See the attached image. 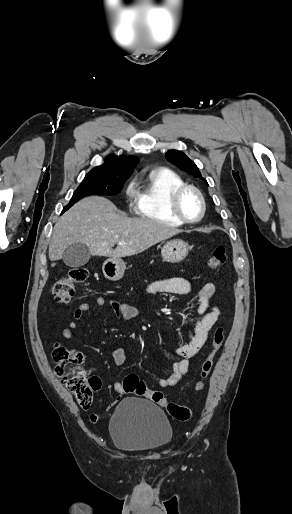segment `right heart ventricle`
I'll list each match as a JSON object with an SVG mask.
<instances>
[{
  "label": "right heart ventricle",
  "mask_w": 292,
  "mask_h": 514,
  "mask_svg": "<svg viewBox=\"0 0 292 514\" xmlns=\"http://www.w3.org/2000/svg\"><path fill=\"white\" fill-rule=\"evenodd\" d=\"M183 183L180 176L165 169H156L140 182L138 190L131 203V212L159 223L178 227L182 223L176 220L168 211L167 195L175 187Z\"/></svg>",
  "instance_id": "e07e8e85"
}]
</instances>
